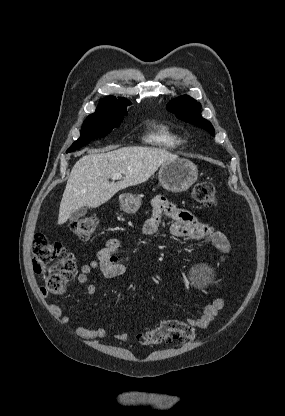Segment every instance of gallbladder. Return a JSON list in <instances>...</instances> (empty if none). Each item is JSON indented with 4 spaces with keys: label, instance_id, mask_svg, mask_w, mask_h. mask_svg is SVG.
Here are the masks:
<instances>
[{
    "label": "gallbladder",
    "instance_id": "gallbladder-1",
    "mask_svg": "<svg viewBox=\"0 0 285 416\" xmlns=\"http://www.w3.org/2000/svg\"><path fill=\"white\" fill-rule=\"evenodd\" d=\"M87 214V208H79V210H76V212H72L70 214L69 220H79V218H82V216H85Z\"/></svg>",
    "mask_w": 285,
    "mask_h": 416
}]
</instances>
